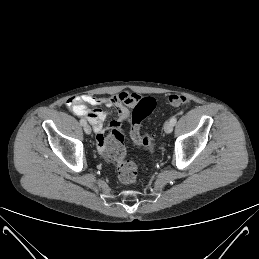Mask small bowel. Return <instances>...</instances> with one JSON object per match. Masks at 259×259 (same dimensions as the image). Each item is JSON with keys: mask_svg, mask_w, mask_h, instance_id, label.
Listing matches in <instances>:
<instances>
[{"mask_svg": "<svg viewBox=\"0 0 259 259\" xmlns=\"http://www.w3.org/2000/svg\"><path fill=\"white\" fill-rule=\"evenodd\" d=\"M140 96L126 91L120 92L110 97H96L93 95H82L72 97L67 100V106L78 116L85 117L92 125L98 148L104 152L105 148V127L104 121L108 117V112L101 109H91V106H106L116 109L118 119L110 122L109 128L121 127L123 122L129 121L130 109L135 107Z\"/></svg>", "mask_w": 259, "mask_h": 259, "instance_id": "1", "label": "small bowel"}]
</instances>
